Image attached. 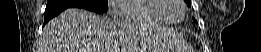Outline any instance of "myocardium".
<instances>
[{
    "label": "myocardium",
    "instance_id": "obj_1",
    "mask_svg": "<svg viewBox=\"0 0 261 52\" xmlns=\"http://www.w3.org/2000/svg\"><path fill=\"white\" fill-rule=\"evenodd\" d=\"M166 4L165 7L162 9V15L167 20L169 24H178L182 22L186 15V6L183 0H163ZM180 7L182 9V16L178 20H171L168 18L169 11L173 10L175 7Z\"/></svg>",
    "mask_w": 261,
    "mask_h": 52
}]
</instances>
